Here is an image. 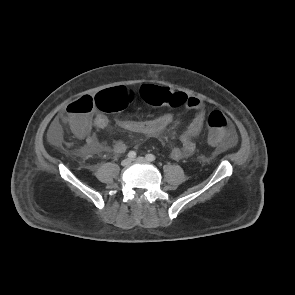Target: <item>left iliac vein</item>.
<instances>
[{
	"label": "left iliac vein",
	"mask_w": 295,
	"mask_h": 295,
	"mask_svg": "<svg viewBox=\"0 0 295 295\" xmlns=\"http://www.w3.org/2000/svg\"><path fill=\"white\" fill-rule=\"evenodd\" d=\"M134 161L141 162V163L148 162V160L146 158H144V157H137L136 159H134Z\"/></svg>",
	"instance_id": "1"
}]
</instances>
